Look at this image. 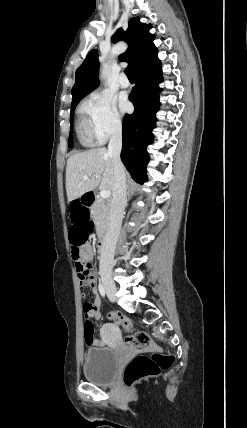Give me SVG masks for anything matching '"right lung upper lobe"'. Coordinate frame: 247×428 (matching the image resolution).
<instances>
[{
  "label": "right lung upper lobe",
  "instance_id": "obj_1",
  "mask_svg": "<svg viewBox=\"0 0 247 428\" xmlns=\"http://www.w3.org/2000/svg\"><path fill=\"white\" fill-rule=\"evenodd\" d=\"M151 27V24L141 23L139 18L135 17L129 21L125 32L119 28L112 36L114 43L120 40L128 43V49L120 55L119 59L129 62L128 66L133 72L158 58V49L153 43L155 36L149 33ZM98 74V53L97 50H92L76 71L71 105L79 102L98 86Z\"/></svg>",
  "mask_w": 247,
  "mask_h": 428
}]
</instances>
